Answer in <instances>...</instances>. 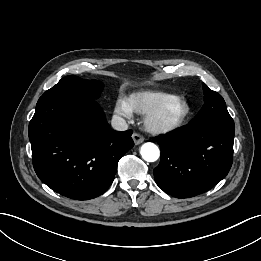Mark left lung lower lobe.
<instances>
[{"label": "left lung lower lobe", "instance_id": "left-lung-lower-lobe-1", "mask_svg": "<svg viewBox=\"0 0 261 261\" xmlns=\"http://www.w3.org/2000/svg\"><path fill=\"white\" fill-rule=\"evenodd\" d=\"M233 120L193 123L155 137L161 160L157 185L177 198L204 193L229 172L233 160Z\"/></svg>", "mask_w": 261, "mask_h": 261}]
</instances>
